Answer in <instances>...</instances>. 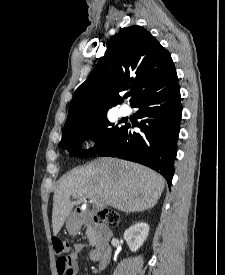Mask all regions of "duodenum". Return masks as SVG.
Instances as JSON below:
<instances>
[{
  "mask_svg": "<svg viewBox=\"0 0 225 275\" xmlns=\"http://www.w3.org/2000/svg\"><path fill=\"white\" fill-rule=\"evenodd\" d=\"M97 213L94 210H91L90 215L83 216L82 221L85 226H92L96 237V260L98 267L104 268L107 266L112 255V246L110 243L112 233L105 224L95 219ZM78 214L83 215V210L78 209Z\"/></svg>",
  "mask_w": 225,
  "mask_h": 275,
  "instance_id": "obj_1",
  "label": "duodenum"
}]
</instances>
